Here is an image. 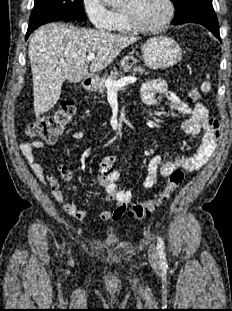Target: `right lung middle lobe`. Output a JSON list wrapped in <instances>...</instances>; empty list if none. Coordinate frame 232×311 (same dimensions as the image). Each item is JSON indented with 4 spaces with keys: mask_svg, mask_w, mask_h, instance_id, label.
Returning <instances> with one entry per match:
<instances>
[{
    "mask_svg": "<svg viewBox=\"0 0 232 311\" xmlns=\"http://www.w3.org/2000/svg\"><path fill=\"white\" fill-rule=\"evenodd\" d=\"M52 16H69L84 21L83 0H35L29 22Z\"/></svg>",
    "mask_w": 232,
    "mask_h": 311,
    "instance_id": "right-lung-middle-lobe-1",
    "label": "right lung middle lobe"
}]
</instances>
